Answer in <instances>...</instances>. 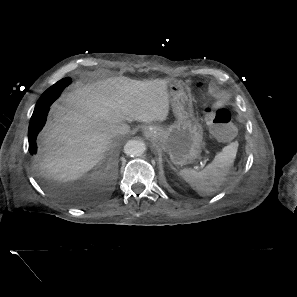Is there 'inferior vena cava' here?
I'll return each instance as SVG.
<instances>
[{
	"label": "inferior vena cava",
	"instance_id": "602c4592",
	"mask_svg": "<svg viewBox=\"0 0 297 297\" xmlns=\"http://www.w3.org/2000/svg\"><path fill=\"white\" fill-rule=\"evenodd\" d=\"M129 131H130L129 125L124 122L117 123L112 127V133L114 135L127 134L129 133Z\"/></svg>",
	"mask_w": 297,
	"mask_h": 297
}]
</instances>
